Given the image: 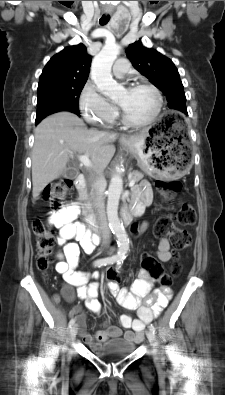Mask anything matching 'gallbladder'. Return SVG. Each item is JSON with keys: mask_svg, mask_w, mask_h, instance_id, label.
<instances>
[{"mask_svg": "<svg viewBox=\"0 0 225 395\" xmlns=\"http://www.w3.org/2000/svg\"><path fill=\"white\" fill-rule=\"evenodd\" d=\"M77 175L78 171L72 165H68L63 173L65 178H75Z\"/></svg>", "mask_w": 225, "mask_h": 395, "instance_id": "gallbladder-1", "label": "gallbladder"}]
</instances>
